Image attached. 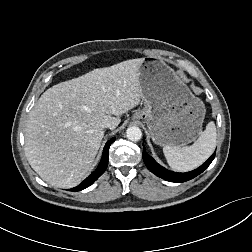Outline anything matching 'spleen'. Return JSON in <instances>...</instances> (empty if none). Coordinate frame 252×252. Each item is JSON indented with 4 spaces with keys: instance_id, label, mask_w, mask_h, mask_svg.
I'll list each match as a JSON object with an SVG mask.
<instances>
[{
    "instance_id": "spleen-1",
    "label": "spleen",
    "mask_w": 252,
    "mask_h": 252,
    "mask_svg": "<svg viewBox=\"0 0 252 252\" xmlns=\"http://www.w3.org/2000/svg\"><path fill=\"white\" fill-rule=\"evenodd\" d=\"M216 127L214 122H209L206 129L191 146L163 147V153L169 166L177 171H190L205 162L216 147Z\"/></svg>"
}]
</instances>
